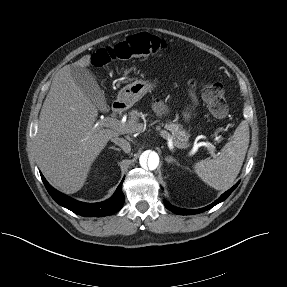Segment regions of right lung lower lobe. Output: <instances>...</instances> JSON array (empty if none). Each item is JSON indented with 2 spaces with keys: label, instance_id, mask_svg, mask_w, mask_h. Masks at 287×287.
<instances>
[{
  "label": "right lung lower lobe",
  "instance_id": "obj_1",
  "mask_svg": "<svg viewBox=\"0 0 287 287\" xmlns=\"http://www.w3.org/2000/svg\"><path fill=\"white\" fill-rule=\"evenodd\" d=\"M42 181L48 191V193L51 195V197L61 206L71 210L72 212L86 217H102L111 215L117 211H119L125 201L124 194L121 191L122 182L117 187L116 192L114 195L100 203H83L80 201H77L75 199H72L59 191L55 190L44 178V176L41 174Z\"/></svg>",
  "mask_w": 287,
  "mask_h": 287
}]
</instances>
